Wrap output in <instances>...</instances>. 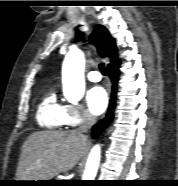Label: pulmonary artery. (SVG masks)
I'll return each mask as SVG.
<instances>
[{
  "label": "pulmonary artery",
  "instance_id": "e3ab8cb5",
  "mask_svg": "<svg viewBox=\"0 0 178 186\" xmlns=\"http://www.w3.org/2000/svg\"><path fill=\"white\" fill-rule=\"evenodd\" d=\"M87 78L92 82H98L101 80V75L97 71H90L87 73Z\"/></svg>",
  "mask_w": 178,
  "mask_h": 186
}]
</instances>
